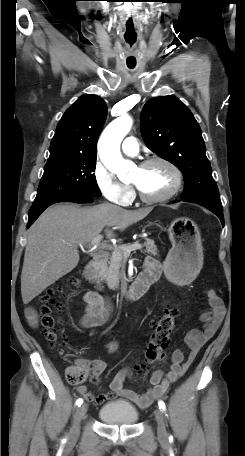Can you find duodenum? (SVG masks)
I'll use <instances>...</instances> for the list:
<instances>
[{"mask_svg":"<svg viewBox=\"0 0 245 456\" xmlns=\"http://www.w3.org/2000/svg\"><path fill=\"white\" fill-rule=\"evenodd\" d=\"M108 258L107 253H100L86 265L84 269L85 279L93 284L98 290L101 289L100 270ZM159 268L152 266L146 267L124 292L123 298L128 301H134L141 298L156 281L159 276Z\"/></svg>","mask_w":245,"mask_h":456,"instance_id":"duodenum-1","label":"duodenum"}]
</instances>
